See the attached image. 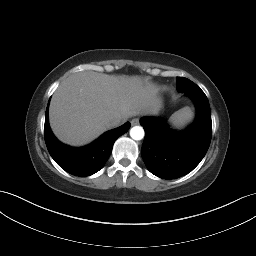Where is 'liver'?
<instances>
[{
	"mask_svg": "<svg viewBox=\"0 0 256 256\" xmlns=\"http://www.w3.org/2000/svg\"><path fill=\"white\" fill-rule=\"evenodd\" d=\"M160 107L158 88L147 80L85 71L71 75L57 88L49 122L59 140L78 146L110 129L114 119L155 114Z\"/></svg>",
	"mask_w": 256,
	"mask_h": 256,
	"instance_id": "1",
	"label": "liver"
}]
</instances>
